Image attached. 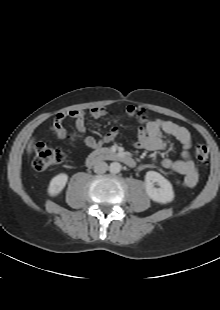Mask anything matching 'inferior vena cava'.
I'll use <instances>...</instances> for the list:
<instances>
[{"label":"inferior vena cava","instance_id":"obj_1","mask_svg":"<svg viewBox=\"0 0 220 310\" xmlns=\"http://www.w3.org/2000/svg\"><path fill=\"white\" fill-rule=\"evenodd\" d=\"M93 170L97 174H103L108 170V165L104 161H99L94 165Z\"/></svg>","mask_w":220,"mask_h":310}]
</instances>
